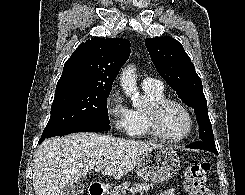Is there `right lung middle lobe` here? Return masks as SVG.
Segmentation results:
<instances>
[{
  "label": "right lung middle lobe",
  "instance_id": "dd1d6c3e",
  "mask_svg": "<svg viewBox=\"0 0 245 195\" xmlns=\"http://www.w3.org/2000/svg\"><path fill=\"white\" fill-rule=\"evenodd\" d=\"M109 93L110 91L100 89L55 92L50 120L40 141L87 123H109L106 104Z\"/></svg>",
  "mask_w": 245,
  "mask_h": 195
}]
</instances>
